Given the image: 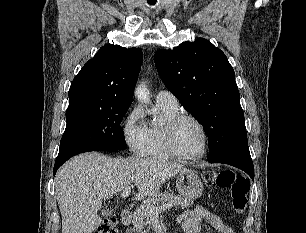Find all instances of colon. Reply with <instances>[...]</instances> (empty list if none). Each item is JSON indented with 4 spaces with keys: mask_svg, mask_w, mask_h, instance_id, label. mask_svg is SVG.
Wrapping results in <instances>:
<instances>
[{
    "mask_svg": "<svg viewBox=\"0 0 306 233\" xmlns=\"http://www.w3.org/2000/svg\"><path fill=\"white\" fill-rule=\"evenodd\" d=\"M204 182L210 187L229 189L232 209L237 214L245 212L251 183L244 175L231 169L209 170L203 174ZM94 233H118L115 218L105 219Z\"/></svg>",
    "mask_w": 306,
    "mask_h": 233,
    "instance_id": "obj_1",
    "label": "colon"
}]
</instances>
